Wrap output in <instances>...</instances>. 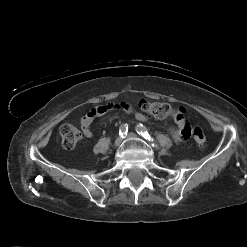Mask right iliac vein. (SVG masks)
Segmentation results:
<instances>
[{
    "label": "right iliac vein",
    "instance_id": "63e3f726",
    "mask_svg": "<svg viewBox=\"0 0 247 247\" xmlns=\"http://www.w3.org/2000/svg\"><path fill=\"white\" fill-rule=\"evenodd\" d=\"M121 143H122V139H121V137H117V138H116V140H115V143H114V144H115V146H116V147H118V146H120V145H121Z\"/></svg>",
    "mask_w": 247,
    "mask_h": 247
}]
</instances>
